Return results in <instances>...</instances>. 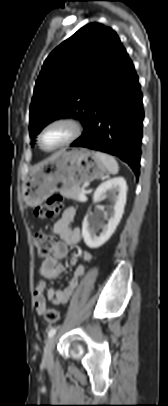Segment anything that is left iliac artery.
I'll return each instance as SVG.
<instances>
[{"mask_svg": "<svg viewBox=\"0 0 168 406\" xmlns=\"http://www.w3.org/2000/svg\"><path fill=\"white\" fill-rule=\"evenodd\" d=\"M57 328H51L48 332V337L51 338L56 334Z\"/></svg>", "mask_w": 168, "mask_h": 406, "instance_id": "44dca946", "label": "left iliac artery"}]
</instances>
